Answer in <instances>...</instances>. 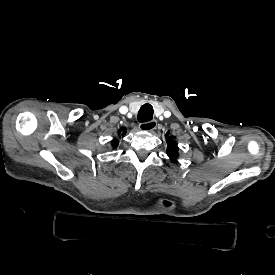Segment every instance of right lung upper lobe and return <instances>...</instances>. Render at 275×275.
I'll return each instance as SVG.
<instances>
[{
    "instance_id": "right-lung-upper-lobe-1",
    "label": "right lung upper lobe",
    "mask_w": 275,
    "mask_h": 275,
    "mask_svg": "<svg viewBox=\"0 0 275 275\" xmlns=\"http://www.w3.org/2000/svg\"><path fill=\"white\" fill-rule=\"evenodd\" d=\"M125 131H126L125 128H121V129L119 130V133L122 132V134H125ZM118 144H119L118 141H117L116 139H114V140L112 141V147H113V149L116 148V147L118 146Z\"/></svg>"
}]
</instances>
